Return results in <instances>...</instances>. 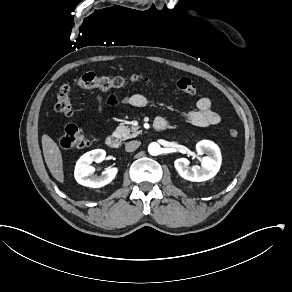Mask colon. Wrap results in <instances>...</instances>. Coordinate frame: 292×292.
Listing matches in <instances>:
<instances>
[{
	"instance_id": "1",
	"label": "colon",
	"mask_w": 292,
	"mask_h": 292,
	"mask_svg": "<svg viewBox=\"0 0 292 292\" xmlns=\"http://www.w3.org/2000/svg\"><path fill=\"white\" fill-rule=\"evenodd\" d=\"M144 81L152 83L150 77L142 73L133 72L127 76H98L94 73H86L72 82H67L61 85L56 96L55 113L60 117H70L73 113V104L71 100V92L73 88L90 89H121L129 83ZM177 88L190 95L197 93V86L188 77H181L176 82ZM231 137L236 138L239 131L236 128L229 130ZM88 140L85 133L77 126H67L61 137L60 146L66 150L83 149L88 146Z\"/></svg>"
}]
</instances>
